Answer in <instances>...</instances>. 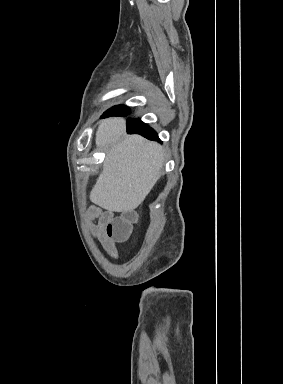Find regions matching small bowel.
I'll use <instances>...</instances> for the list:
<instances>
[{
	"label": "small bowel",
	"instance_id": "obj_1",
	"mask_svg": "<svg viewBox=\"0 0 283 384\" xmlns=\"http://www.w3.org/2000/svg\"><path fill=\"white\" fill-rule=\"evenodd\" d=\"M115 219L111 211H104L99 207H91L88 212V227L92 236L97 239L108 255L117 257L115 239L108 233L109 224Z\"/></svg>",
	"mask_w": 283,
	"mask_h": 384
}]
</instances>
